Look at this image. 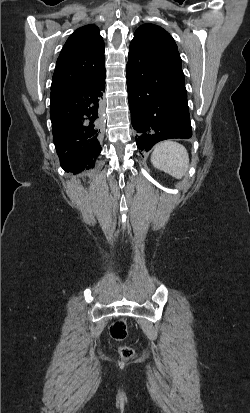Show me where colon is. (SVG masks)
<instances>
[{
	"instance_id": "1",
	"label": "colon",
	"mask_w": 250,
	"mask_h": 413,
	"mask_svg": "<svg viewBox=\"0 0 250 413\" xmlns=\"http://www.w3.org/2000/svg\"><path fill=\"white\" fill-rule=\"evenodd\" d=\"M110 336L117 342H122L127 337V323L123 319L115 321L110 328ZM118 352L123 360H130L134 357V350L127 345H120Z\"/></svg>"
}]
</instances>
